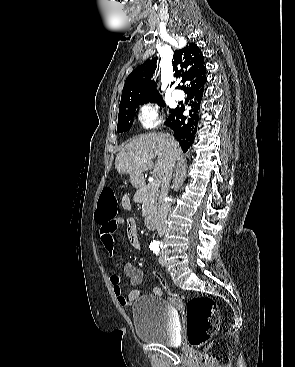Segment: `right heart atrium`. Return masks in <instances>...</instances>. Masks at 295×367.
Returning <instances> with one entry per match:
<instances>
[{
  "instance_id": "d8ad5b80",
  "label": "right heart atrium",
  "mask_w": 295,
  "mask_h": 367,
  "mask_svg": "<svg viewBox=\"0 0 295 367\" xmlns=\"http://www.w3.org/2000/svg\"><path fill=\"white\" fill-rule=\"evenodd\" d=\"M138 121L144 128H155L162 121V111L157 105L145 104L139 109Z\"/></svg>"
}]
</instances>
